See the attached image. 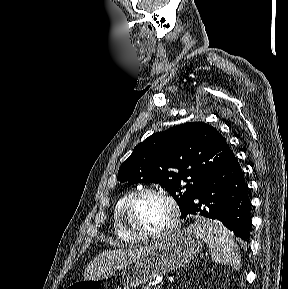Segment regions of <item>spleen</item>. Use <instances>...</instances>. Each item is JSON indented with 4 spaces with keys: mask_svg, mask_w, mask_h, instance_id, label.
Wrapping results in <instances>:
<instances>
[{
    "mask_svg": "<svg viewBox=\"0 0 288 289\" xmlns=\"http://www.w3.org/2000/svg\"><path fill=\"white\" fill-rule=\"evenodd\" d=\"M192 226L211 249V258L214 262L227 264L236 270L240 268L239 248L226 227L209 219H197Z\"/></svg>",
    "mask_w": 288,
    "mask_h": 289,
    "instance_id": "3e777b00",
    "label": "spleen"
}]
</instances>
